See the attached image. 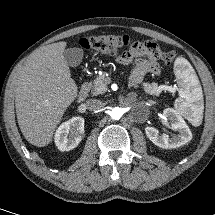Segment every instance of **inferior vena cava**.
<instances>
[{
  "label": "inferior vena cava",
  "instance_id": "obj_1",
  "mask_svg": "<svg viewBox=\"0 0 215 215\" xmlns=\"http://www.w3.org/2000/svg\"><path fill=\"white\" fill-rule=\"evenodd\" d=\"M104 103L101 100L89 99L86 101V107L90 111L98 112L104 108Z\"/></svg>",
  "mask_w": 215,
  "mask_h": 215
}]
</instances>
